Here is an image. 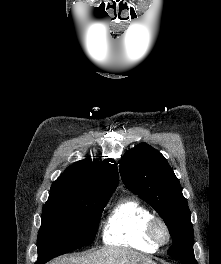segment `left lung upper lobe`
I'll use <instances>...</instances> for the list:
<instances>
[{"label":"left lung upper lobe","instance_id":"5c2ea615","mask_svg":"<svg viewBox=\"0 0 221 264\" xmlns=\"http://www.w3.org/2000/svg\"><path fill=\"white\" fill-rule=\"evenodd\" d=\"M119 171L125 186L150 204L168 226L173 245L167 254L194 258L191 213L180 182L163 155L141 143L122 156Z\"/></svg>","mask_w":221,"mask_h":264}]
</instances>
